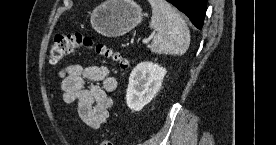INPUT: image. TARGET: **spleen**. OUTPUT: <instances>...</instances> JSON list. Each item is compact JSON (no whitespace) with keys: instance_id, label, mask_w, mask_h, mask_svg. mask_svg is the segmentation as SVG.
<instances>
[{"instance_id":"spleen-1","label":"spleen","mask_w":276,"mask_h":145,"mask_svg":"<svg viewBox=\"0 0 276 145\" xmlns=\"http://www.w3.org/2000/svg\"><path fill=\"white\" fill-rule=\"evenodd\" d=\"M150 27L157 31L151 44L153 53L183 55L190 45V32L180 13L165 0H149Z\"/></svg>"}]
</instances>
